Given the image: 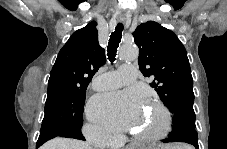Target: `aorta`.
<instances>
[{
	"instance_id": "762f6f07",
	"label": "aorta",
	"mask_w": 227,
	"mask_h": 149,
	"mask_svg": "<svg viewBox=\"0 0 227 149\" xmlns=\"http://www.w3.org/2000/svg\"><path fill=\"white\" fill-rule=\"evenodd\" d=\"M119 57L123 61H133L138 57V50L133 46H124Z\"/></svg>"
}]
</instances>
